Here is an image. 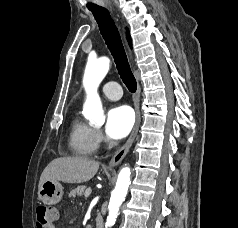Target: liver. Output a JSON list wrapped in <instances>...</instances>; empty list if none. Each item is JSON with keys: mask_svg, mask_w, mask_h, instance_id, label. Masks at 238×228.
Returning <instances> with one entry per match:
<instances>
[{"mask_svg": "<svg viewBox=\"0 0 238 228\" xmlns=\"http://www.w3.org/2000/svg\"><path fill=\"white\" fill-rule=\"evenodd\" d=\"M99 162L86 157H60L51 161L43 170L39 188L45 181L64 183H84L94 177L99 169Z\"/></svg>", "mask_w": 238, "mask_h": 228, "instance_id": "liver-1", "label": "liver"}]
</instances>
